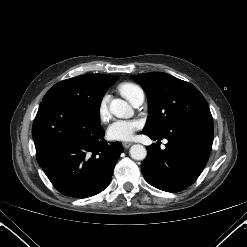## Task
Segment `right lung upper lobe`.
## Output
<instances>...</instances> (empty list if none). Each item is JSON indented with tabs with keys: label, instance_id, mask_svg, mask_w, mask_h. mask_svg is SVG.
Listing matches in <instances>:
<instances>
[{
	"label": "right lung upper lobe",
	"instance_id": "cb5924a9",
	"mask_svg": "<svg viewBox=\"0 0 247 247\" xmlns=\"http://www.w3.org/2000/svg\"><path fill=\"white\" fill-rule=\"evenodd\" d=\"M95 75L99 79V81L108 88L116 82V78L114 76L101 75V74H95Z\"/></svg>",
	"mask_w": 247,
	"mask_h": 247
}]
</instances>
